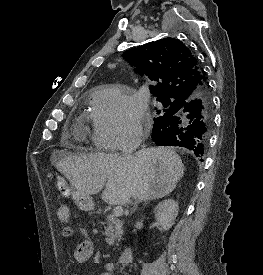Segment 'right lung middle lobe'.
Returning a JSON list of instances; mask_svg holds the SVG:
<instances>
[{
    "mask_svg": "<svg viewBox=\"0 0 263 275\" xmlns=\"http://www.w3.org/2000/svg\"><path fill=\"white\" fill-rule=\"evenodd\" d=\"M158 101L162 103V105L164 106V109L157 110V114L159 116L157 118H154V122L170 117L179 108V102L176 100H173L170 98H158ZM168 106L170 107L167 108Z\"/></svg>",
    "mask_w": 263,
    "mask_h": 275,
    "instance_id": "dd1d6c3e",
    "label": "right lung middle lobe"
}]
</instances>
